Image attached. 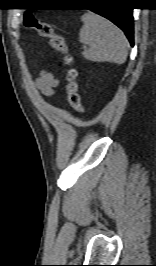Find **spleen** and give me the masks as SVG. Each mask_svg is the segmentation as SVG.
Wrapping results in <instances>:
<instances>
[{
    "label": "spleen",
    "mask_w": 156,
    "mask_h": 266,
    "mask_svg": "<svg viewBox=\"0 0 156 266\" xmlns=\"http://www.w3.org/2000/svg\"><path fill=\"white\" fill-rule=\"evenodd\" d=\"M79 41L89 46L82 52L86 60L121 65L127 58V39L109 20L92 12L81 17Z\"/></svg>",
    "instance_id": "3e777b00"
}]
</instances>
